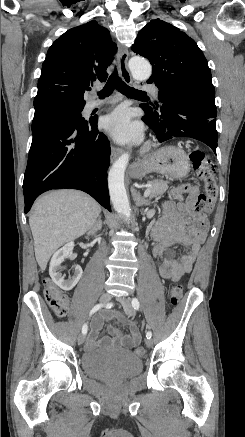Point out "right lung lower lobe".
Returning <instances> with one entry per match:
<instances>
[{
  "label": "right lung lower lobe",
  "instance_id": "1",
  "mask_svg": "<svg viewBox=\"0 0 245 437\" xmlns=\"http://www.w3.org/2000/svg\"><path fill=\"white\" fill-rule=\"evenodd\" d=\"M97 120L78 124L54 120L33 132L24 175L25 213L51 189L73 188L90 194L111 211L107 185L110 146Z\"/></svg>",
  "mask_w": 245,
  "mask_h": 437
}]
</instances>
